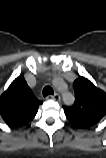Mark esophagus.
<instances>
[{
    "mask_svg": "<svg viewBox=\"0 0 106 158\" xmlns=\"http://www.w3.org/2000/svg\"><path fill=\"white\" fill-rule=\"evenodd\" d=\"M60 95L58 93H55L54 95H48L47 96V99H53V100H56V101H59L60 100Z\"/></svg>",
    "mask_w": 106,
    "mask_h": 158,
    "instance_id": "esophagus-1",
    "label": "esophagus"
}]
</instances>
